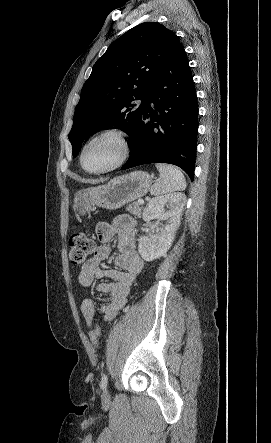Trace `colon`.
I'll list each match as a JSON object with an SVG mask.
<instances>
[{"label": "colon", "instance_id": "1", "mask_svg": "<svg viewBox=\"0 0 271 443\" xmlns=\"http://www.w3.org/2000/svg\"><path fill=\"white\" fill-rule=\"evenodd\" d=\"M69 246V258L75 265L84 263L95 248L93 239L83 233L73 234L69 239ZM89 335L93 344L97 346L99 343L100 329L96 323L92 325Z\"/></svg>", "mask_w": 271, "mask_h": 443}]
</instances>
